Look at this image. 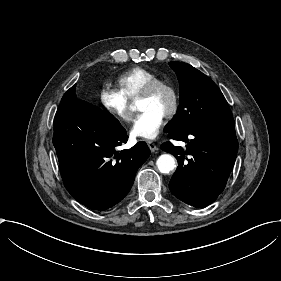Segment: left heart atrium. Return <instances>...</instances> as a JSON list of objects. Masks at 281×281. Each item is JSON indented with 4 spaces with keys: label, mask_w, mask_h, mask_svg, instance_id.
<instances>
[{
    "label": "left heart atrium",
    "mask_w": 281,
    "mask_h": 281,
    "mask_svg": "<svg viewBox=\"0 0 281 281\" xmlns=\"http://www.w3.org/2000/svg\"><path fill=\"white\" fill-rule=\"evenodd\" d=\"M164 118L152 111H142L131 129L133 136L144 139H155L163 125Z\"/></svg>",
    "instance_id": "1"
}]
</instances>
